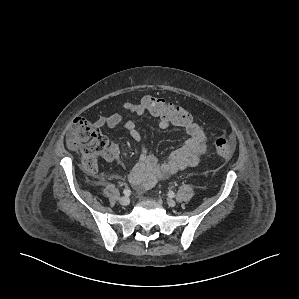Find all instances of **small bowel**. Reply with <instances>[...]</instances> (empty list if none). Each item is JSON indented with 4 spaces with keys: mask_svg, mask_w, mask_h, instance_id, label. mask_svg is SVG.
Returning a JSON list of instances; mask_svg holds the SVG:
<instances>
[{
    "mask_svg": "<svg viewBox=\"0 0 299 299\" xmlns=\"http://www.w3.org/2000/svg\"><path fill=\"white\" fill-rule=\"evenodd\" d=\"M123 108L126 112L135 116H141L146 113L141 101L138 103L127 101L123 103ZM122 122H124V127L131 138L136 142H142L143 136L137 128L136 120H125V115L122 113L101 116L96 120L95 125L97 127L114 128ZM158 125L162 129L170 126L163 120H158ZM183 129L187 136L186 141L181 147L172 151L163 162H159L157 157L147 147L144 146L142 148L139 159L129 174V181L137 191H146L158 181L189 167L196 166L199 163L201 156L207 149L206 135L195 121H192ZM119 153L118 145L111 143L101 152L100 157L106 162L112 163L118 159Z\"/></svg>",
    "mask_w": 299,
    "mask_h": 299,
    "instance_id": "1",
    "label": "small bowel"
}]
</instances>
